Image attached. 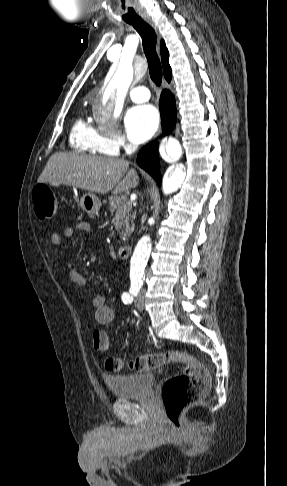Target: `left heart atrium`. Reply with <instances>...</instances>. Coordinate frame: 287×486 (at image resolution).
<instances>
[{"label":"left heart atrium","instance_id":"39dd6f15","mask_svg":"<svg viewBox=\"0 0 287 486\" xmlns=\"http://www.w3.org/2000/svg\"><path fill=\"white\" fill-rule=\"evenodd\" d=\"M124 122L130 140L139 144L155 133L159 125V114L152 105L135 106L127 112Z\"/></svg>","mask_w":287,"mask_h":486}]
</instances>
